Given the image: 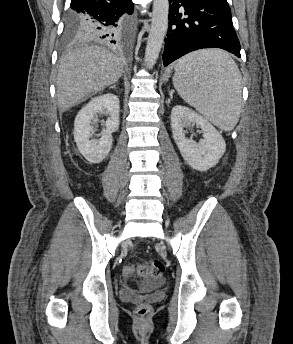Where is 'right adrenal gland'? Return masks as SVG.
Wrapping results in <instances>:
<instances>
[{"label": "right adrenal gland", "instance_id": "1", "mask_svg": "<svg viewBox=\"0 0 293 344\" xmlns=\"http://www.w3.org/2000/svg\"><path fill=\"white\" fill-rule=\"evenodd\" d=\"M110 88H112V89H116V85H113V86H111Z\"/></svg>", "mask_w": 293, "mask_h": 344}]
</instances>
